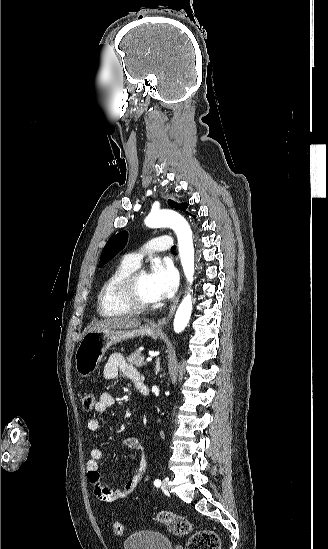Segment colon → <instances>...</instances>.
Segmentation results:
<instances>
[{"label": "colon", "mask_w": 328, "mask_h": 549, "mask_svg": "<svg viewBox=\"0 0 328 549\" xmlns=\"http://www.w3.org/2000/svg\"><path fill=\"white\" fill-rule=\"evenodd\" d=\"M96 402L94 392L87 390L82 395V407L84 411H91ZM156 521L167 526L168 530L175 536H186L192 531L191 522L184 516L161 511L155 516ZM112 531L120 535L124 531L122 523L116 521L112 524ZM220 540L218 535L211 530H202L194 533L188 540L185 549H219Z\"/></svg>", "instance_id": "1"}]
</instances>
